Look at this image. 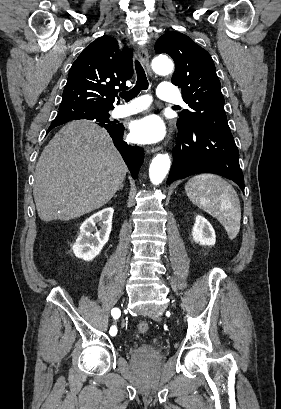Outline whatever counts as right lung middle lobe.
Instances as JSON below:
<instances>
[{
    "label": "right lung middle lobe",
    "instance_id": "obj_1",
    "mask_svg": "<svg viewBox=\"0 0 281 409\" xmlns=\"http://www.w3.org/2000/svg\"><path fill=\"white\" fill-rule=\"evenodd\" d=\"M109 117H110L109 113H108V112H104V113H103V116H102V119L97 120V121L100 122V123L103 122V120L108 121V120H109ZM76 119H83V118H76ZM70 120H74V119H73V118H58V117H56V118L54 119V121L51 123V126H50L49 130L52 129V128H54V127H56V126H59V125H61V124H64V123H66V122H68V121H70ZM90 120H93V119H90Z\"/></svg>",
    "mask_w": 281,
    "mask_h": 409
}]
</instances>
